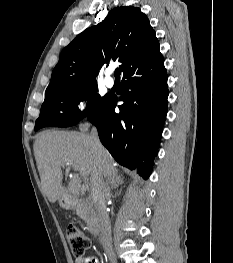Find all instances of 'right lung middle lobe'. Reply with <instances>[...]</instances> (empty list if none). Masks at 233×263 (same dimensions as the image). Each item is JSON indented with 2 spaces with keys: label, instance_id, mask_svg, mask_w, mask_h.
<instances>
[{
  "label": "right lung middle lobe",
  "instance_id": "right-lung-middle-lobe-1",
  "mask_svg": "<svg viewBox=\"0 0 233 263\" xmlns=\"http://www.w3.org/2000/svg\"><path fill=\"white\" fill-rule=\"evenodd\" d=\"M97 84L78 89L66 90L45 97L39 118L36 120L34 130L46 126L69 127L77 124L87 114L98 108L108 96L96 94ZM86 110L80 111L77 107L80 101L87 100Z\"/></svg>",
  "mask_w": 233,
  "mask_h": 263
}]
</instances>
